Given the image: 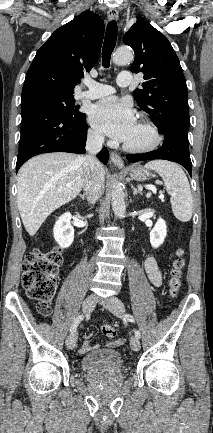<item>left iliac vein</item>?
<instances>
[{
    "mask_svg": "<svg viewBox=\"0 0 213 433\" xmlns=\"http://www.w3.org/2000/svg\"><path fill=\"white\" fill-rule=\"evenodd\" d=\"M102 305L116 315L119 318L123 317L125 307L122 301L117 297H110L109 299L102 301ZM130 346L133 351L140 350V341L136 336H132L130 339Z\"/></svg>",
    "mask_w": 213,
    "mask_h": 433,
    "instance_id": "obj_1",
    "label": "left iliac vein"
}]
</instances>
